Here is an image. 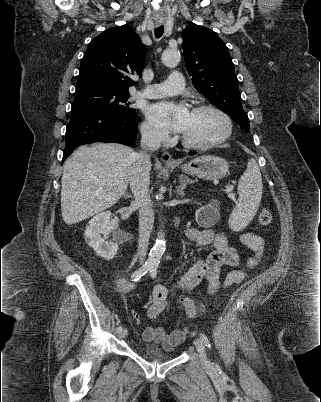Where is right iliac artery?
Here are the masks:
<instances>
[{"label":"right iliac artery","mask_w":321,"mask_h":402,"mask_svg":"<svg viewBox=\"0 0 321 402\" xmlns=\"http://www.w3.org/2000/svg\"><path fill=\"white\" fill-rule=\"evenodd\" d=\"M152 265L150 264H146L143 265L141 268L137 269L132 275H131V279L132 281H138L142 276H144L150 269H151ZM122 330L121 326H118L116 328V331L119 333Z\"/></svg>","instance_id":"1"}]
</instances>
